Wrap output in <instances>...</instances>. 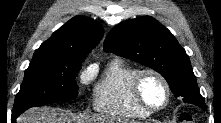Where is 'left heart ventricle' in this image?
Wrapping results in <instances>:
<instances>
[{
  "label": "left heart ventricle",
  "instance_id": "1",
  "mask_svg": "<svg viewBox=\"0 0 221 123\" xmlns=\"http://www.w3.org/2000/svg\"><path fill=\"white\" fill-rule=\"evenodd\" d=\"M141 94L152 107H160L166 99L165 89L162 83L154 76L147 75L141 82Z\"/></svg>",
  "mask_w": 221,
  "mask_h": 123
}]
</instances>
